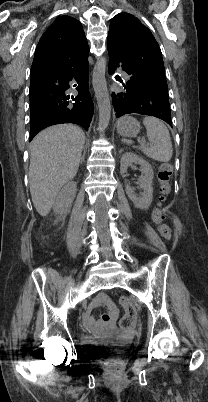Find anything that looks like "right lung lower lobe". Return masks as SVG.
I'll list each match as a JSON object with an SVG mask.
<instances>
[{"instance_id":"obj_1","label":"right lung lower lobe","mask_w":208,"mask_h":402,"mask_svg":"<svg viewBox=\"0 0 208 402\" xmlns=\"http://www.w3.org/2000/svg\"><path fill=\"white\" fill-rule=\"evenodd\" d=\"M89 46L68 63L32 70L30 75V141L42 129L73 123L88 130L94 105L88 89ZM71 80L77 81L76 97L67 95Z\"/></svg>"}]
</instances>
